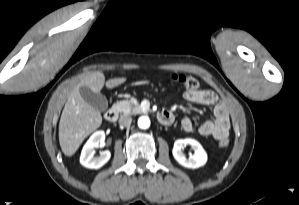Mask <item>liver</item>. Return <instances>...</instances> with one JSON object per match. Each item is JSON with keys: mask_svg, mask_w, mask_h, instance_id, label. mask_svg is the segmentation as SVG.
<instances>
[{"mask_svg": "<svg viewBox=\"0 0 299 205\" xmlns=\"http://www.w3.org/2000/svg\"><path fill=\"white\" fill-rule=\"evenodd\" d=\"M125 77L105 81L101 71L87 73L71 91L59 121V143L66 156H72L84 139L102 123L101 113L89 105L80 94V87L100 93L104 85L112 89L123 84Z\"/></svg>", "mask_w": 299, "mask_h": 205, "instance_id": "6515ba94", "label": "liver"}]
</instances>
